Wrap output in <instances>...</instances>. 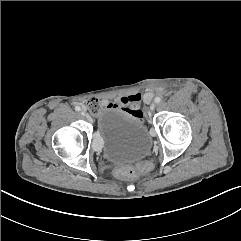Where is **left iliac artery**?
Segmentation results:
<instances>
[{
    "label": "left iliac artery",
    "instance_id": "1",
    "mask_svg": "<svg viewBox=\"0 0 241 241\" xmlns=\"http://www.w3.org/2000/svg\"><path fill=\"white\" fill-rule=\"evenodd\" d=\"M154 101H155L156 103H159V102L161 101V98L157 96Z\"/></svg>",
    "mask_w": 241,
    "mask_h": 241
}]
</instances>
